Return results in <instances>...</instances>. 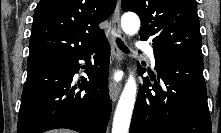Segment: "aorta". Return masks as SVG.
<instances>
[{"mask_svg": "<svg viewBox=\"0 0 221 133\" xmlns=\"http://www.w3.org/2000/svg\"><path fill=\"white\" fill-rule=\"evenodd\" d=\"M140 25V19L135 13H125L121 18L122 29L127 35H135L139 31ZM136 93V80L133 73H130L116 107L112 133H128Z\"/></svg>", "mask_w": 221, "mask_h": 133, "instance_id": "1", "label": "aorta"}]
</instances>
